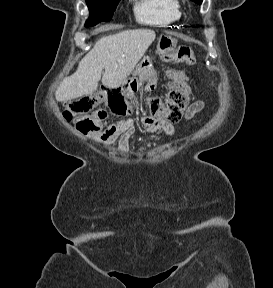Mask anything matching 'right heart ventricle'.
Here are the masks:
<instances>
[{
	"label": "right heart ventricle",
	"instance_id": "1",
	"mask_svg": "<svg viewBox=\"0 0 273 288\" xmlns=\"http://www.w3.org/2000/svg\"><path fill=\"white\" fill-rule=\"evenodd\" d=\"M135 14L141 23L166 26L178 21L182 11L179 0H140Z\"/></svg>",
	"mask_w": 273,
	"mask_h": 288
}]
</instances>
